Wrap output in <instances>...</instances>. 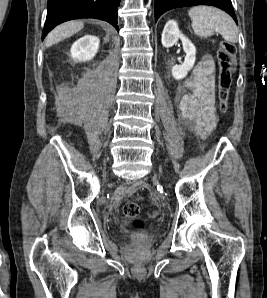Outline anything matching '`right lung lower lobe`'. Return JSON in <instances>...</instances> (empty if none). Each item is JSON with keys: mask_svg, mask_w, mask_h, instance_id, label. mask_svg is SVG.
<instances>
[{"mask_svg": "<svg viewBox=\"0 0 267 298\" xmlns=\"http://www.w3.org/2000/svg\"><path fill=\"white\" fill-rule=\"evenodd\" d=\"M120 0H48L47 18L42 40L58 24L79 18L101 19L117 30V11Z\"/></svg>", "mask_w": 267, "mask_h": 298, "instance_id": "98d812e1", "label": "right lung lower lobe"}]
</instances>
